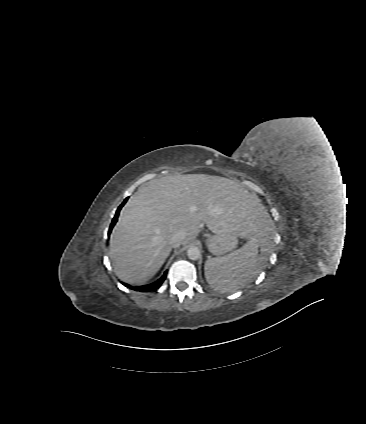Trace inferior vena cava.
I'll return each instance as SVG.
<instances>
[{"mask_svg": "<svg viewBox=\"0 0 366 424\" xmlns=\"http://www.w3.org/2000/svg\"><path fill=\"white\" fill-rule=\"evenodd\" d=\"M185 232L179 231L175 233L169 240V244L171 247H178L180 244H182L183 240L185 239Z\"/></svg>", "mask_w": 366, "mask_h": 424, "instance_id": "1", "label": "inferior vena cava"}]
</instances>
